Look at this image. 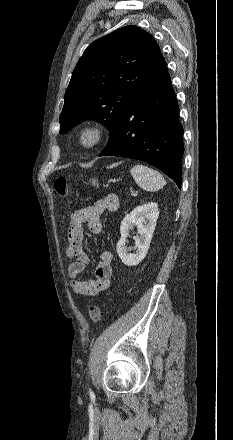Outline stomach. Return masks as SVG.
<instances>
[{"mask_svg": "<svg viewBox=\"0 0 233 440\" xmlns=\"http://www.w3.org/2000/svg\"><path fill=\"white\" fill-rule=\"evenodd\" d=\"M92 184L96 185L97 184V180L96 179H92Z\"/></svg>", "mask_w": 233, "mask_h": 440, "instance_id": "0dacf381", "label": "stomach"}]
</instances>
